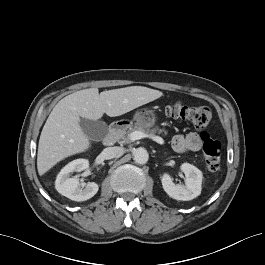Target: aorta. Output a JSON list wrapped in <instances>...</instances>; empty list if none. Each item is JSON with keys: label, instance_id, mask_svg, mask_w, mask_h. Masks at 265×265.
I'll return each instance as SVG.
<instances>
[{"label": "aorta", "instance_id": "762f6f07", "mask_svg": "<svg viewBox=\"0 0 265 265\" xmlns=\"http://www.w3.org/2000/svg\"><path fill=\"white\" fill-rule=\"evenodd\" d=\"M133 159L137 164H146L149 159V154L144 148H138L133 152Z\"/></svg>", "mask_w": 265, "mask_h": 265}]
</instances>
